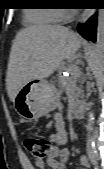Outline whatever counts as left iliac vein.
Instances as JSON below:
<instances>
[{"label": "left iliac vein", "instance_id": "1", "mask_svg": "<svg viewBox=\"0 0 104 169\" xmlns=\"http://www.w3.org/2000/svg\"><path fill=\"white\" fill-rule=\"evenodd\" d=\"M99 159V154H96V160H98Z\"/></svg>", "mask_w": 104, "mask_h": 169}]
</instances>
